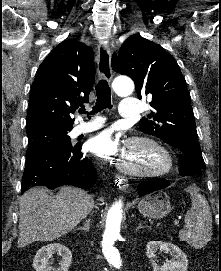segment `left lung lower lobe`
Wrapping results in <instances>:
<instances>
[{"label": "left lung lower lobe", "mask_w": 221, "mask_h": 271, "mask_svg": "<svg viewBox=\"0 0 221 271\" xmlns=\"http://www.w3.org/2000/svg\"><path fill=\"white\" fill-rule=\"evenodd\" d=\"M179 152V160H180V175H200L201 172L205 169L200 167L196 161L191 158L189 155L184 154L181 151ZM169 182L167 180H159V181H145L138 185L139 196L146 195L153 191L166 188L169 186Z\"/></svg>", "instance_id": "left-lung-lower-lobe-1"}]
</instances>
